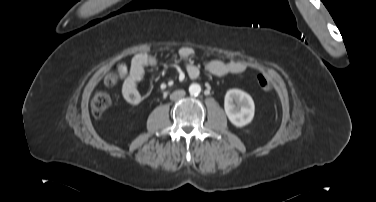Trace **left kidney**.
<instances>
[{"mask_svg": "<svg viewBox=\"0 0 376 202\" xmlns=\"http://www.w3.org/2000/svg\"><path fill=\"white\" fill-rule=\"evenodd\" d=\"M224 109L230 122L237 127L249 124L255 112L252 97L239 89H230L226 92Z\"/></svg>", "mask_w": 376, "mask_h": 202, "instance_id": "5707ae66", "label": "left kidney"}]
</instances>
